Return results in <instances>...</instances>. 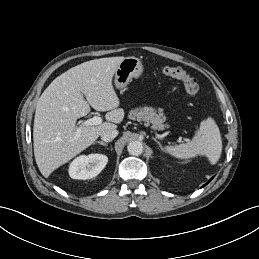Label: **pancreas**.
I'll return each instance as SVG.
<instances>
[{"instance_id":"obj_1","label":"pancreas","mask_w":259,"mask_h":259,"mask_svg":"<svg viewBox=\"0 0 259 259\" xmlns=\"http://www.w3.org/2000/svg\"><path fill=\"white\" fill-rule=\"evenodd\" d=\"M128 117L132 120L150 122L158 128L163 126L166 119L163 113L157 114L152 107L147 106L131 110Z\"/></svg>"}]
</instances>
